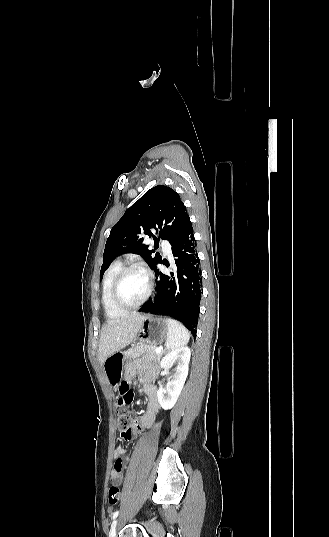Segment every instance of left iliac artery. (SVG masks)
Here are the masks:
<instances>
[{
    "mask_svg": "<svg viewBox=\"0 0 329 537\" xmlns=\"http://www.w3.org/2000/svg\"><path fill=\"white\" fill-rule=\"evenodd\" d=\"M118 514H119V511H118V510L115 511V512L113 513L112 519H115V518L118 516Z\"/></svg>",
    "mask_w": 329,
    "mask_h": 537,
    "instance_id": "obj_1",
    "label": "left iliac artery"
}]
</instances>
